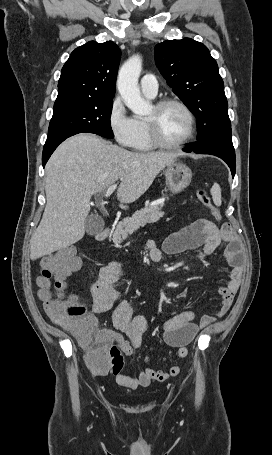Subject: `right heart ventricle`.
<instances>
[{
	"mask_svg": "<svg viewBox=\"0 0 272 455\" xmlns=\"http://www.w3.org/2000/svg\"><path fill=\"white\" fill-rule=\"evenodd\" d=\"M136 134L131 147L140 152H148L155 148L150 140L145 119L135 118Z\"/></svg>",
	"mask_w": 272,
	"mask_h": 455,
	"instance_id": "obj_1",
	"label": "right heart ventricle"
}]
</instances>
